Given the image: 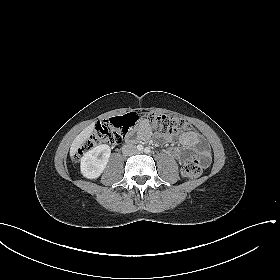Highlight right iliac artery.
Instances as JSON below:
<instances>
[{"mask_svg":"<svg viewBox=\"0 0 280 280\" xmlns=\"http://www.w3.org/2000/svg\"><path fill=\"white\" fill-rule=\"evenodd\" d=\"M137 149L140 150V151H142V150H143V146H142V145H138V146H137Z\"/></svg>","mask_w":280,"mask_h":280,"instance_id":"1","label":"right iliac artery"}]
</instances>
